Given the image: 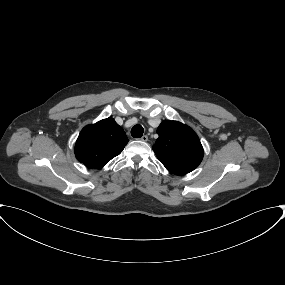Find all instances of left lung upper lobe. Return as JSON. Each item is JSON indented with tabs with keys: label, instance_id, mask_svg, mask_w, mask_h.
Masks as SVG:
<instances>
[{
	"label": "left lung upper lobe",
	"instance_id": "obj_1",
	"mask_svg": "<svg viewBox=\"0 0 285 285\" xmlns=\"http://www.w3.org/2000/svg\"><path fill=\"white\" fill-rule=\"evenodd\" d=\"M156 144L152 147L158 160L176 175L193 171L203 158V147L197 134L178 121H163L158 129Z\"/></svg>",
	"mask_w": 285,
	"mask_h": 285
}]
</instances>
